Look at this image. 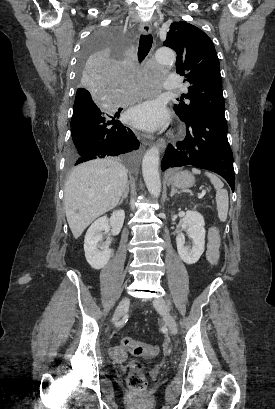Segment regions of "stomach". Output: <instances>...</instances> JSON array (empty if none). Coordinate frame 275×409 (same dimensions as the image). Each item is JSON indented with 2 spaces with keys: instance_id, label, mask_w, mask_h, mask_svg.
Wrapping results in <instances>:
<instances>
[{
  "instance_id": "1",
  "label": "stomach",
  "mask_w": 275,
  "mask_h": 409,
  "mask_svg": "<svg viewBox=\"0 0 275 409\" xmlns=\"http://www.w3.org/2000/svg\"><path fill=\"white\" fill-rule=\"evenodd\" d=\"M195 178L191 172L187 170H176V172H171L169 178V184L172 186H177V188H190L193 186Z\"/></svg>"
}]
</instances>
